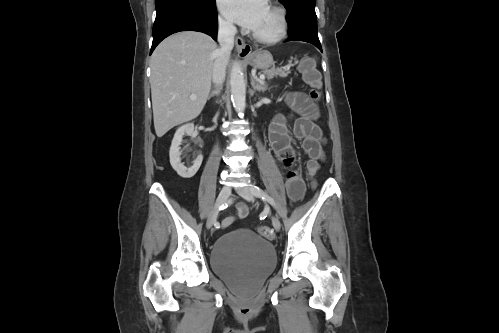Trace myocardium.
<instances>
[{
	"label": "myocardium",
	"mask_w": 499,
	"mask_h": 333,
	"mask_svg": "<svg viewBox=\"0 0 499 333\" xmlns=\"http://www.w3.org/2000/svg\"><path fill=\"white\" fill-rule=\"evenodd\" d=\"M269 9L272 10L277 15L279 21V27L277 32L272 36H263L254 31L252 32V37L256 41L263 44H274L281 41L285 37L288 31V18L286 11L282 7L274 4L270 5Z\"/></svg>",
	"instance_id": "1"
}]
</instances>
